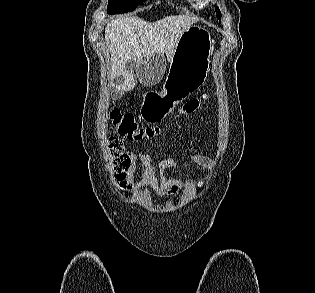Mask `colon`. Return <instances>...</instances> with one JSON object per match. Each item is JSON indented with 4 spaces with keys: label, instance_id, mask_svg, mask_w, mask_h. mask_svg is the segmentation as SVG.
<instances>
[{
    "label": "colon",
    "instance_id": "colon-1",
    "mask_svg": "<svg viewBox=\"0 0 315 293\" xmlns=\"http://www.w3.org/2000/svg\"><path fill=\"white\" fill-rule=\"evenodd\" d=\"M205 99L206 94L188 100L179 109L178 116H187L196 112ZM109 118L112 125L118 130V133L130 140L152 139L160 136L165 130V128L159 126H138L131 113H121L118 110H112ZM108 150L116 177L118 179L124 178L125 170L130 165V157L125 153L120 139L111 137L108 141Z\"/></svg>",
    "mask_w": 315,
    "mask_h": 293
}]
</instances>
